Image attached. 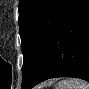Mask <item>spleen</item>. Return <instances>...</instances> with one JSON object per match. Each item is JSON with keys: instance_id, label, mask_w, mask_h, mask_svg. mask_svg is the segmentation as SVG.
Returning <instances> with one entry per match:
<instances>
[{"instance_id": "spleen-1", "label": "spleen", "mask_w": 89, "mask_h": 89, "mask_svg": "<svg viewBox=\"0 0 89 89\" xmlns=\"http://www.w3.org/2000/svg\"><path fill=\"white\" fill-rule=\"evenodd\" d=\"M56 89H89V84L81 79L70 78L60 81Z\"/></svg>"}]
</instances>
